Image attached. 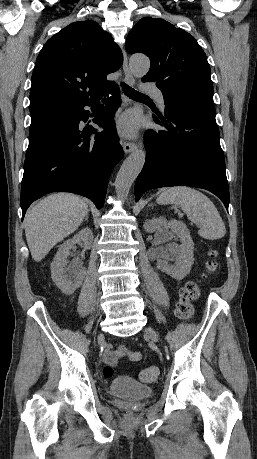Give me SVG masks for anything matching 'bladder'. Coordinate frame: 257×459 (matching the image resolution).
I'll list each match as a JSON object with an SVG mask.
<instances>
[{
  "label": "bladder",
  "mask_w": 257,
  "mask_h": 459,
  "mask_svg": "<svg viewBox=\"0 0 257 459\" xmlns=\"http://www.w3.org/2000/svg\"><path fill=\"white\" fill-rule=\"evenodd\" d=\"M109 393L130 401L151 397L154 393L152 387L144 385L134 379L117 377L109 387Z\"/></svg>",
  "instance_id": "1"
}]
</instances>
